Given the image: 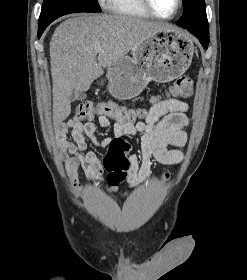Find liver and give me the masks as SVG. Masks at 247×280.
I'll return each instance as SVG.
<instances>
[{
  "label": "liver",
  "instance_id": "obj_1",
  "mask_svg": "<svg viewBox=\"0 0 247 280\" xmlns=\"http://www.w3.org/2000/svg\"><path fill=\"white\" fill-rule=\"evenodd\" d=\"M173 28L162 22L106 14H79L62 22L50 41L53 122L71 112L72 93L81 95L92 82L149 36ZM101 49L95 51L94 47ZM98 55V57H97Z\"/></svg>",
  "mask_w": 247,
  "mask_h": 280
}]
</instances>
